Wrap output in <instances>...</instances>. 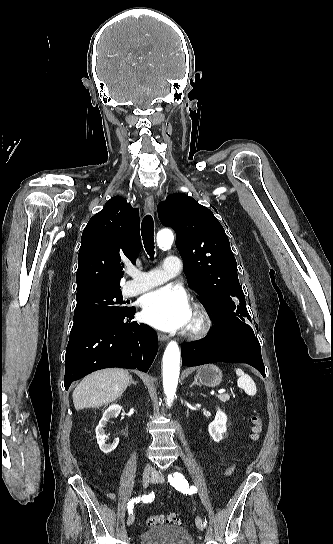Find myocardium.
<instances>
[{
	"mask_svg": "<svg viewBox=\"0 0 333 544\" xmlns=\"http://www.w3.org/2000/svg\"><path fill=\"white\" fill-rule=\"evenodd\" d=\"M213 326V320L204 305L196 303L193 307L192 320L187 328V335L201 338L207 335Z\"/></svg>",
	"mask_w": 333,
	"mask_h": 544,
	"instance_id": "f54148a6",
	"label": "myocardium"
}]
</instances>
